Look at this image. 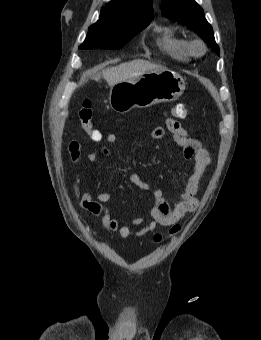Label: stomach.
I'll list each match as a JSON object with an SVG mask.
<instances>
[{
	"instance_id": "stomach-1",
	"label": "stomach",
	"mask_w": 261,
	"mask_h": 340,
	"mask_svg": "<svg viewBox=\"0 0 261 340\" xmlns=\"http://www.w3.org/2000/svg\"><path fill=\"white\" fill-rule=\"evenodd\" d=\"M185 90L183 78L174 71L145 72L111 87L109 103L118 113L178 99Z\"/></svg>"
}]
</instances>
